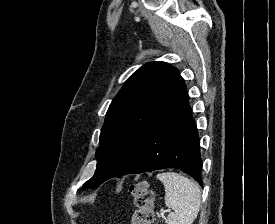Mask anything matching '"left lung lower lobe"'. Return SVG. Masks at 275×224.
Returning <instances> with one entry per match:
<instances>
[{
  "instance_id": "1",
  "label": "left lung lower lobe",
  "mask_w": 275,
  "mask_h": 224,
  "mask_svg": "<svg viewBox=\"0 0 275 224\" xmlns=\"http://www.w3.org/2000/svg\"><path fill=\"white\" fill-rule=\"evenodd\" d=\"M188 101L186 93L151 133L125 174L177 168L202 185L200 142Z\"/></svg>"
}]
</instances>
